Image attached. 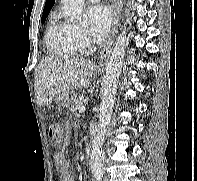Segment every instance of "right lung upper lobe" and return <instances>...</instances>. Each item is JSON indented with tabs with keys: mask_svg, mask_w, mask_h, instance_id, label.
Wrapping results in <instances>:
<instances>
[{
	"mask_svg": "<svg viewBox=\"0 0 197 181\" xmlns=\"http://www.w3.org/2000/svg\"><path fill=\"white\" fill-rule=\"evenodd\" d=\"M55 0H46L45 7L43 10V15L49 14L51 8L53 7Z\"/></svg>",
	"mask_w": 197,
	"mask_h": 181,
	"instance_id": "cb5924a9",
	"label": "right lung upper lobe"
}]
</instances>
